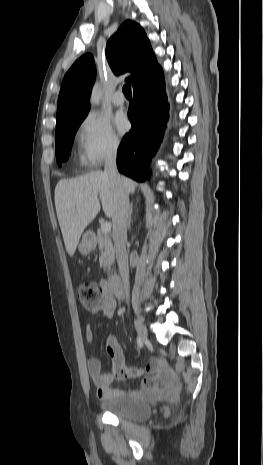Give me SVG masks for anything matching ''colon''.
<instances>
[{
    "label": "colon",
    "mask_w": 263,
    "mask_h": 465,
    "mask_svg": "<svg viewBox=\"0 0 263 465\" xmlns=\"http://www.w3.org/2000/svg\"><path fill=\"white\" fill-rule=\"evenodd\" d=\"M104 286L95 282H84L79 286L78 296L81 303L87 308L96 307L105 297Z\"/></svg>",
    "instance_id": "colon-1"
}]
</instances>
